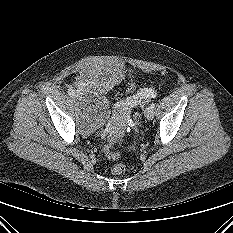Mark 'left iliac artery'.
I'll return each instance as SVG.
<instances>
[{
	"label": "left iliac artery",
	"mask_w": 233,
	"mask_h": 233,
	"mask_svg": "<svg viewBox=\"0 0 233 233\" xmlns=\"http://www.w3.org/2000/svg\"><path fill=\"white\" fill-rule=\"evenodd\" d=\"M155 105H156V103L153 102V103L150 105V108L154 109V108H155Z\"/></svg>",
	"instance_id": "obj_1"
}]
</instances>
